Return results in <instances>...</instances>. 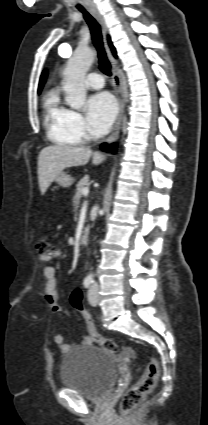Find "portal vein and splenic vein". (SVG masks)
I'll list each match as a JSON object with an SVG mask.
<instances>
[{"instance_id": "obj_1", "label": "portal vein and splenic vein", "mask_w": 208, "mask_h": 425, "mask_svg": "<svg viewBox=\"0 0 208 425\" xmlns=\"http://www.w3.org/2000/svg\"><path fill=\"white\" fill-rule=\"evenodd\" d=\"M82 193H83L84 196H87L88 193H89V189L88 188H84L83 191H82Z\"/></svg>"}]
</instances>
